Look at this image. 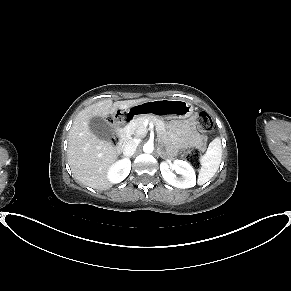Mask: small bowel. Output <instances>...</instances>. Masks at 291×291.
<instances>
[{
    "label": "small bowel",
    "instance_id": "1",
    "mask_svg": "<svg viewBox=\"0 0 291 291\" xmlns=\"http://www.w3.org/2000/svg\"><path fill=\"white\" fill-rule=\"evenodd\" d=\"M173 126L181 130L183 144H189L198 140L195 136L191 121L178 122Z\"/></svg>",
    "mask_w": 291,
    "mask_h": 291
}]
</instances>
